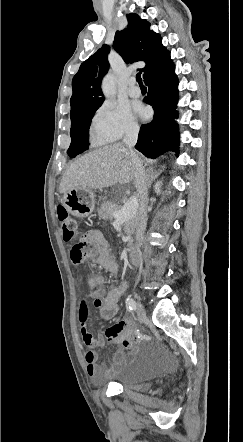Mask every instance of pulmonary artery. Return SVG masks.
I'll use <instances>...</instances> for the list:
<instances>
[{
  "instance_id": "obj_1",
  "label": "pulmonary artery",
  "mask_w": 243,
  "mask_h": 442,
  "mask_svg": "<svg viewBox=\"0 0 243 442\" xmlns=\"http://www.w3.org/2000/svg\"><path fill=\"white\" fill-rule=\"evenodd\" d=\"M128 94H129L130 97H132V98H139V97L141 96V90H140V88L136 85V80H135V78H131V79L129 80Z\"/></svg>"
}]
</instances>
